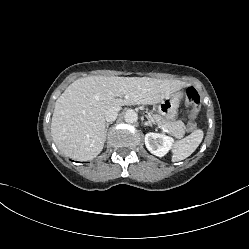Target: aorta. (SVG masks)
I'll return each mask as SVG.
<instances>
[{"label": "aorta", "instance_id": "1", "mask_svg": "<svg viewBox=\"0 0 249 249\" xmlns=\"http://www.w3.org/2000/svg\"><path fill=\"white\" fill-rule=\"evenodd\" d=\"M124 119L127 123H135L138 120V114L134 110L129 109L126 111Z\"/></svg>", "mask_w": 249, "mask_h": 249}]
</instances>
